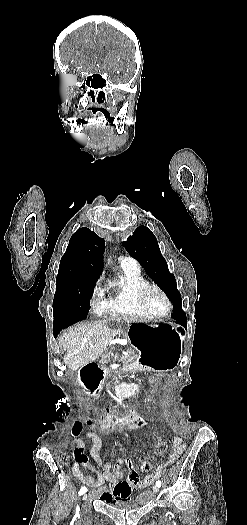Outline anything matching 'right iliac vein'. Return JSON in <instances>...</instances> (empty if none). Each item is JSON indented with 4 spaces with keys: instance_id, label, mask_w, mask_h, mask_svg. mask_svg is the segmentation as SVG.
Wrapping results in <instances>:
<instances>
[{
    "instance_id": "obj_1",
    "label": "right iliac vein",
    "mask_w": 247,
    "mask_h": 525,
    "mask_svg": "<svg viewBox=\"0 0 247 525\" xmlns=\"http://www.w3.org/2000/svg\"><path fill=\"white\" fill-rule=\"evenodd\" d=\"M88 498V494L83 495V500H86Z\"/></svg>"
}]
</instances>
